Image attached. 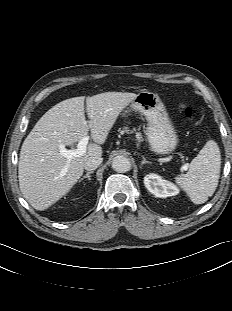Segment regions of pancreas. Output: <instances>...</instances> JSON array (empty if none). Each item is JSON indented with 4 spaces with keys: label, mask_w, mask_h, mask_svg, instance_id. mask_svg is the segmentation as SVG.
I'll return each instance as SVG.
<instances>
[{
    "label": "pancreas",
    "mask_w": 232,
    "mask_h": 311,
    "mask_svg": "<svg viewBox=\"0 0 232 311\" xmlns=\"http://www.w3.org/2000/svg\"><path fill=\"white\" fill-rule=\"evenodd\" d=\"M134 131H135V129L134 130H130L129 127H127V126H125L124 130H123V132L128 133V134L133 133ZM136 138H137L138 141H142L141 133L137 132L136 133Z\"/></svg>",
    "instance_id": "pancreas-1"
}]
</instances>
